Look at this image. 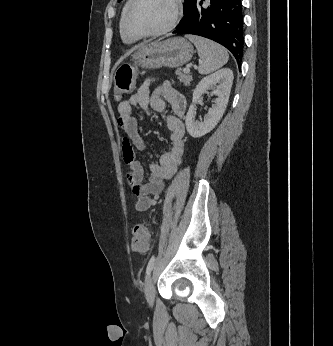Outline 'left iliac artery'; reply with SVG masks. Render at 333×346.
I'll use <instances>...</instances> for the list:
<instances>
[{
	"label": "left iliac artery",
	"mask_w": 333,
	"mask_h": 346,
	"mask_svg": "<svg viewBox=\"0 0 333 346\" xmlns=\"http://www.w3.org/2000/svg\"><path fill=\"white\" fill-rule=\"evenodd\" d=\"M154 264H155V256L153 255L151 257V259L149 260L147 268H146V275L147 276L151 273V271H152V269L154 267Z\"/></svg>",
	"instance_id": "44dca946"
}]
</instances>
